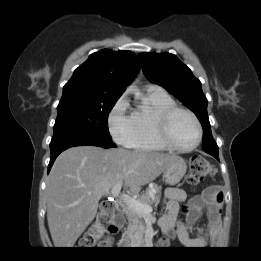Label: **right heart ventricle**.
Returning <instances> with one entry per match:
<instances>
[{
    "label": "right heart ventricle",
    "mask_w": 261,
    "mask_h": 261,
    "mask_svg": "<svg viewBox=\"0 0 261 261\" xmlns=\"http://www.w3.org/2000/svg\"><path fill=\"white\" fill-rule=\"evenodd\" d=\"M143 102L145 107L138 108L131 114L135 131L129 146L142 151H166L168 148L157 135L155 118L176 103L164 90L149 89L146 91Z\"/></svg>",
    "instance_id": "right-heart-ventricle-1"
}]
</instances>
